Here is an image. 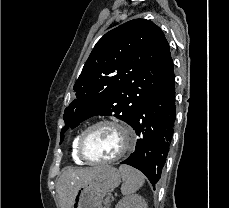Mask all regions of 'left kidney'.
I'll list each match as a JSON object with an SVG mask.
<instances>
[{"mask_svg":"<svg viewBox=\"0 0 229 208\" xmlns=\"http://www.w3.org/2000/svg\"><path fill=\"white\" fill-rule=\"evenodd\" d=\"M116 208H148V206L141 196L134 194V196H125L118 202Z\"/></svg>","mask_w":229,"mask_h":208,"instance_id":"5707ae66","label":"left kidney"}]
</instances>
